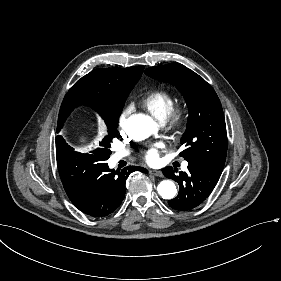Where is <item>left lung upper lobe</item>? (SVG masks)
I'll return each instance as SVG.
<instances>
[{
	"mask_svg": "<svg viewBox=\"0 0 281 281\" xmlns=\"http://www.w3.org/2000/svg\"><path fill=\"white\" fill-rule=\"evenodd\" d=\"M145 74L170 82L185 97L189 118L181 144L187 148L180 156L221 174L226 160L227 133L222 106L211 85L179 63L151 67Z\"/></svg>",
	"mask_w": 281,
	"mask_h": 281,
	"instance_id": "5c2ea615",
	"label": "left lung upper lobe"
}]
</instances>
